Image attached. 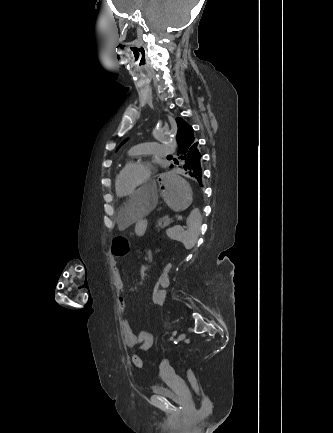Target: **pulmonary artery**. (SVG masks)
<instances>
[{
  "label": "pulmonary artery",
  "mask_w": 333,
  "mask_h": 433,
  "mask_svg": "<svg viewBox=\"0 0 333 433\" xmlns=\"http://www.w3.org/2000/svg\"><path fill=\"white\" fill-rule=\"evenodd\" d=\"M172 152L173 149L170 146L158 143H143L136 145L131 149L132 155L156 154L160 156H165Z\"/></svg>",
  "instance_id": "obj_1"
}]
</instances>
